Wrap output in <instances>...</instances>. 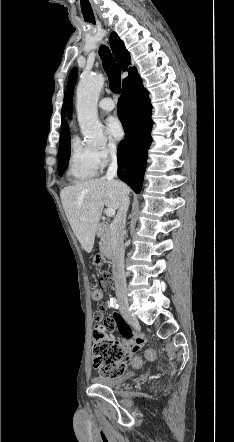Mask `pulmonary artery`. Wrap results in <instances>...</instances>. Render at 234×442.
Returning <instances> with one entry per match:
<instances>
[{"mask_svg":"<svg viewBox=\"0 0 234 442\" xmlns=\"http://www.w3.org/2000/svg\"><path fill=\"white\" fill-rule=\"evenodd\" d=\"M98 105L101 110L106 112L112 111L115 108L114 101L109 97L101 99Z\"/></svg>","mask_w":234,"mask_h":442,"instance_id":"pulmonary-artery-1","label":"pulmonary artery"}]
</instances>
